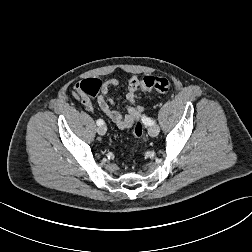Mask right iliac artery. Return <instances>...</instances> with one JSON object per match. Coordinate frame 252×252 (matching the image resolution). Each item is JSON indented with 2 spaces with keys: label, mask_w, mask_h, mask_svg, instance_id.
Returning a JSON list of instances; mask_svg holds the SVG:
<instances>
[{
  "label": "right iliac artery",
  "mask_w": 252,
  "mask_h": 252,
  "mask_svg": "<svg viewBox=\"0 0 252 252\" xmlns=\"http://www.w3.org/2000/svg\"><path fill=\"white\" fill-rule=\"evenodd\" d=\"M96 123L98 126H101L104 124V121L102 119H98Z\"/></svg>",
  "instance_id": "1"
}]
</instances>
